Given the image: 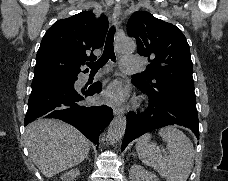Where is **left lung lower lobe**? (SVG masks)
Segmentation results:
<instances>
[{"label":"left lung lower lobe","mask_w":228,"mask_h":181,"mask_svg":"<svg viewBox=\"0 0 228 181\" xmlns=\"http://www.w3.org/2000/svg\"><path fill=\"white\" fill-rule=\"evenodd\" d=\"M137 87L148 95L149 106L142 113L129 112L122 151L132 140L168 125L187 127L199 139L196 101L186 97L168 96L160 90H144Z\"/></svg>","instance_id":"left-lung-lower-lobe-1"}]
</instances>
